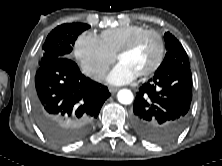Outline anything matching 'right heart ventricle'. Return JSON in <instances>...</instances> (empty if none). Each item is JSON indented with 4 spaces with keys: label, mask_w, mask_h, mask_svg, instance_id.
I'll return each mask as SVG.
<instances>
[{
    "label": "right heart ventricle",
    "mask_w": 222,
    "mask_h": 166,
    "mask_svg": "<svg viewBox=\"0 0 222 166\" xmlns=\"http://www.w3.org/2000/svg\"><path fill=\"white\" fill-rule=\"evenodd\" d=\"M141 25H126L104 30L100 34V40L105 48L113 55L129 43L138 34L146 31Z\"/></svg>",
    "instance_id": "obj_1"
}]
</instances>
